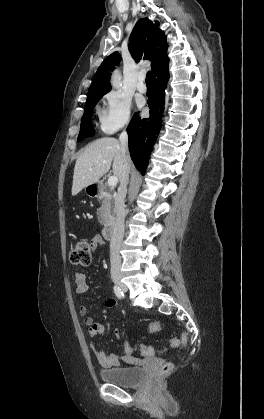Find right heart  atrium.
<instances>
[{"label": "right heart atrium", "mask_w": 264, "mask_h": 419, "mask_svg": "<svg viewBox=\"0 0 264 419\" xmlns=\"http://www.w3.org/2000/svg\"><path fill=\"white\" fill-rule=\"evenodd\" d=\"M106 108L100 113V128L105 134L122 129L131 120V101L119 92H109L105 96Z\"/></svg>", "instance_id": "1"}]
</instances>
